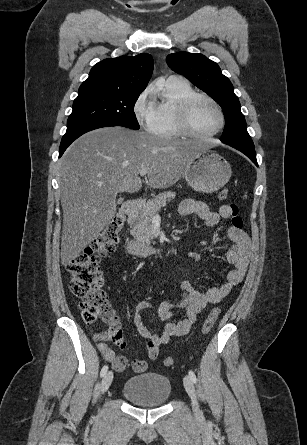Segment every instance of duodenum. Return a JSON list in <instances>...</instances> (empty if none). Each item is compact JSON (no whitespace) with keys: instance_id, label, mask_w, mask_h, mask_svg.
Masks as SVG:
<instances>
[{"instance_id":"obj_1","label":"duodenum","mask_w":307,"mask_h":445,"mask_svg":"<svg viewBox=\"0 0 307 445\" xmlns=\"http://www.w3.org/2000/svg\"><path fill=\"white\" fill-rule=\"evenodd\" d=\"M143 202H144L143 198L128 200L125 202L123 206V212L130 220H132L135 217L136 213L138 212ZM126 250L131 255L142 256V257L157 255L162 252V249L157 246L142 241L134 240L131 238H128L126 240Z\"/></svg>"}]
</instances>
